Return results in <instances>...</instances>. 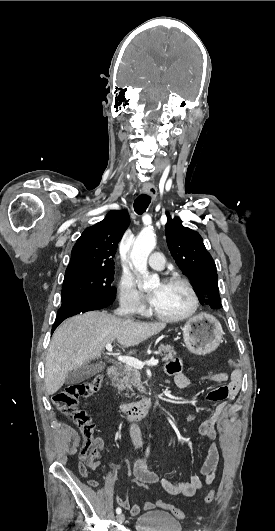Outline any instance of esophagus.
Returning <instances> with one entry per match:
<instances>
[{
	"label": "esophagus",
	"instance_id": "34e87169",
	"mask_svg": "<svg viewBox=\"0 0 275 531\" xmlns=\"http://www.w3.org/2000/svg\"><path fill=\"white\" fill-rule=\"evenodd\" d=\"M142 192L144 194H147V195L151 196L153 200L157 196V189L152 184H144L143 187H142Z\"/></svg>",
	"mask_w": 275,
	"mask_h": 531
}]
</instances>
